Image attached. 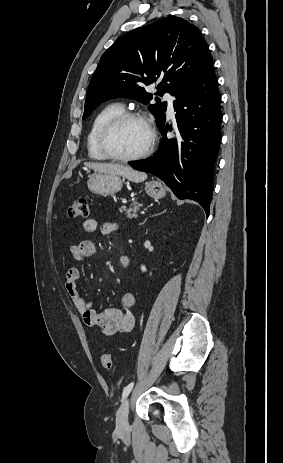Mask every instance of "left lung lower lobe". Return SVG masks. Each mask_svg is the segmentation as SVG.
<instances>
[{
  "label": "left lung lower lobe",
  "mask_w": 283,
  "mask_h": 463,
  "mask_svg": "<svg viewBox=\"0 0 283 463\" xmlns=\"http://www.w3.org/2000/svg\"><path fill=\"white\" fill-rule=\"evenodd\" d=\"M175 97L177 128L173 138H167L168 126L164 121L158 128L163 134L159 153L130 162V166L162 179L179 199L197 201L208 217L222 122L213 66Z\"/></svg>",
  "instance_id": "0a47b994"
}]
</instances>
